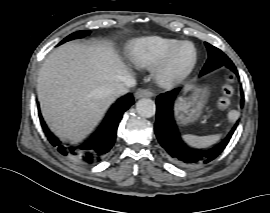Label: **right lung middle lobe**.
<instances>
[{
	"label": "right lung middle lobe",
	"mask_w": 270,
	"mask_h": 213,
	"mask_svg": "<svg viewBox=\"0 0 270 213\" xmlns=\"http://www.w3.org/2000/svg\"><path fill=\"white\" fill-rule=\"evenodd\" d=\"M89 34H90V31H78V32H75V33L69 35L68 37H66L63 41H61L59 43V45L64 43V42H67L69 40L76 39V38H81V37L87 36Z\"/></svg>",
	"instance_id": "dd1d6c3e"
}]
</instances>
